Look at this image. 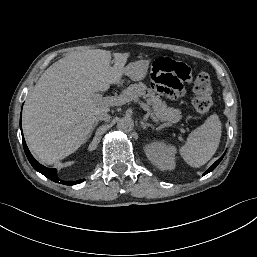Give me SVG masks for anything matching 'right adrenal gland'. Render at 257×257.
Here are the masks:
<instances>
[{
	"label": "right adrenal gland",
	"mask_w": 257,
	"mask_h": 257,
	"mask_svg": "<svg viewBox=\"0 0 257 257\" xmlns=\"http://www.w3.org/2000/svg\"><path fill=\"white\" fill-rule=\"evenodd\" d=\"M98 120L97 121H95V123H94V125H93V127H92V130H91V132H90V134H89V136H88V138L92 135V133H93V131H94V129L96 128V126L98 125Z\"/></svg>",
	"instance_id": "2a0ac1e0"
}]
</instances>
